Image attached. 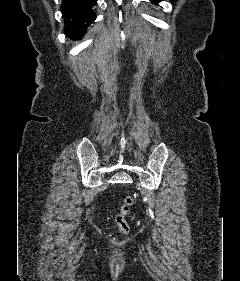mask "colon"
I'll return each instance as SVG.
<instances>
[{
	"label": "colon",
	"mask_w": 240,
	"mask_h": 281,
	"mask_svg": "<svg viewBox=\"0 0 240 281\" xmlns=\"http://www.w3.org/2000/svg\"><path fill=\"white\" fill-rule=\"evenodd\" d=\"M134 205V199L131 196H126L119 209V213L116 216V223L118 226L119 234L125 236L129 232V225L126 221V216L128 215L131 207Z\"/></svg>",
	"instance_id": "obj_1"
}]
</instances>
